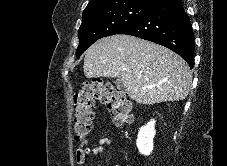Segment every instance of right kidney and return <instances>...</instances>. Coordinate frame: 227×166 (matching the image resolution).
<instances>
[{
  "label": "right kidney",
  "mask_w": 227,
  "mask_h": 166,
  "mask_svg": "<svg viewBox=\"0 0 227 166\" xmlns=\"http://www.w3.org/2000/svg\"><path fill=\"white\" fill-rule=\"evenodd\" d=\"M155 120H151L145 126L141 127L138 132V138L136 141L138 150L143 155H149L153 150V139L155 136Z\"/></svg>",
  "instance_id": "ca27d5eb"
}]
</instances>
